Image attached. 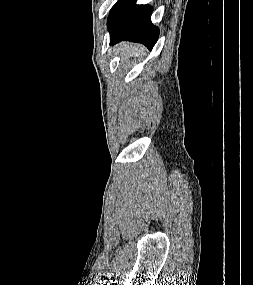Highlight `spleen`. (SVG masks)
<instances>
[{
  "label": "spleen",
  "mask_w": 253,
  "mask_h": 285,
  "mask_svg": "<svg viewBox=\"0 0 253 285\" xmlns=\"http://www.w3.org/2000/svg\"><path fill=\"white\" fill-rule=\"evenodd\" d=\"M124 48L127 49V50H132V51H135V52H139V47L138 46L125 45Z\"/></svg>",
  "instance_id": "spleen-1"
}]
</instances>
